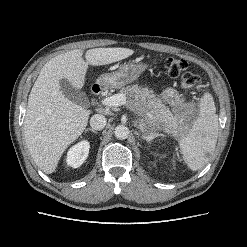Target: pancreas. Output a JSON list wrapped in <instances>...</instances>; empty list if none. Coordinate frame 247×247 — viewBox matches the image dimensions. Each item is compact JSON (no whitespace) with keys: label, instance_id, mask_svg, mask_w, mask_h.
<instances>
[{"label":"pancreas","instance_id":"cf45deb5","mask_svg":"<svg viewBox=\"0 0 247 247\" xmlns=\"http://www.w3.org/2000/svg\"><path fill=\"white\" fill-rule=\"evenodd\" d=\"M120 92L127 98V104L142 115L149 110L157 122L169 127L173 126L174 116L162 103V101L153 94L152 90L142 88L138 85L123 87Z\"/></svg>","mask_w":247,"mask_h":247}]
</instances>
